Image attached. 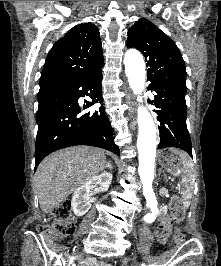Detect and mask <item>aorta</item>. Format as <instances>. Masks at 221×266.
I'll use <instances>...</instances> for the list:
<instances>
[{
	"label": "aorta",
	"mask_w": 221,
	"mask_h": 266,
	"mask_svg": "<svg viewBox=\"0 0 221 266\" xmlns=\"http://www.w3.org/2000/svg\"><path fill=\"white\" fill-rule=\"evenodd\" d=\"M125 73L128 83L134 94L140 95L144 90L146 79L145 63L142 55L136 50H128L124 57ZM138 100H141L138 97ZM138 139L137 149L139 158V176L143 187V195L151 214L146 215L148 222L154 220L157 214V200L152 188L156 156V127L154 120L147 109L139 106L137 109Z\"/></svg>",
	"instance_id": "762f6f07"
}]
</instances>
